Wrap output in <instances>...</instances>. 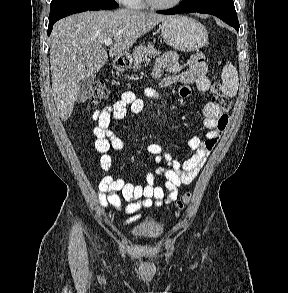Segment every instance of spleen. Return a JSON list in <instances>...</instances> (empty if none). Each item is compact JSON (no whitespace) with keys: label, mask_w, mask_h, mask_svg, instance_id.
Wrapping results in <instances>:
<instances>
[{"label":"spleen","mask_w":288,"mask_h":293,"mask_svg":"<svg viewBox=\"0 0 288 293\" xmlns=\"http://www.w3.org/2000/svg\"><path fill=\"white\" fill-rule=\"evenodd\" d=\"M222 92L229 97L237 94L239 86L238 72L231 62H227L222 70Z\"/></svg>","instance_id":"3e777b00"}]
</instances>
